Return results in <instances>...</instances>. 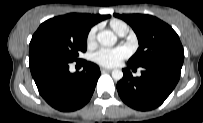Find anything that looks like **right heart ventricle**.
I'll return each mask as SVG.
<instances>
[{"label":"right heart ventricle","mask_w":203,"mask_h":123,"mask_svg":"<svg viewBox=\"0 0 203 123\" xmlns=\"http://www.w3.org/2000/svg\"><path fill=\"white\" fill-rule=\"evenodd\" d=\"M124 24H125V23L122 22V21H120V20H112L111 23H110L112 29H113L115 32H117L118 29H119L122 25H124Z\"/></svg>","instance_id":"right-heart-ventricle-1"}]
</instances>
